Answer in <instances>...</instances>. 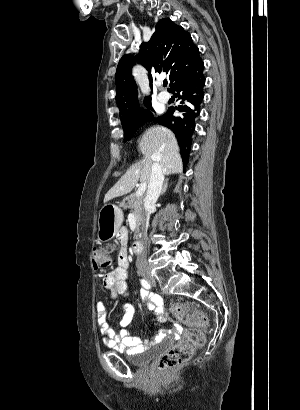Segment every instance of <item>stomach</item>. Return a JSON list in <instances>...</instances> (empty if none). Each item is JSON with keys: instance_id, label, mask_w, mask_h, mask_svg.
I'll return each mask as SVG.
<instances>
[{"instance_id": "0dacf381", "label": "stomach", "mask_w": 300, "mask_h": 410, "mask_svg": "<svg viewBox=\"0 0 300 410\" xmlns=\"http://www.w3.org/2000/svg\"><path fill=\"white\" fill-rule=\"evenodd\" d=\"M123 222V212L114 204H105L98 219V240L106 241L114 237Z\"/></svg>"}]
</instances>
